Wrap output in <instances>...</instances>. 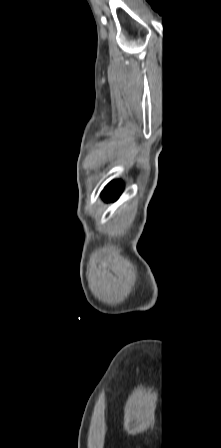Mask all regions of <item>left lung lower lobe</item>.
<instances>
[{
  "label": "left lung lower lobe",
  "mask_w": 221,
  "mask_h": 448,
  "mask_svg": "<svg viewBox=\"0 0 221 448\" xmlns=\"http://www.w3.org/2000/svg\"><path fill=\"white\" fill-rule=\"evenodd\" d=\"M123 190V185L120 181H112L109 183L102 192V198L106 202L115 201L118 199L120 193Z\"/></svg>",
  "instance_id": "0a47b994"
}]
</instances>
